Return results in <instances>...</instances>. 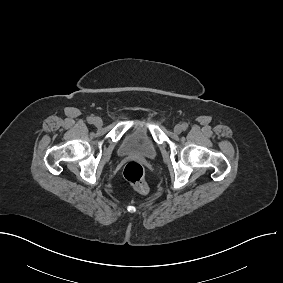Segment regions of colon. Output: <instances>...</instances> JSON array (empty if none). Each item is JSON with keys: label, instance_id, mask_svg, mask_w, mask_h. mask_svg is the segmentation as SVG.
Wrapping results in <instances>:
<instances>
[{"label": "colon", "instance_id": "obj_1", "mask_svg": "<svg viewBox=\"0 0 283 283\" xmlns=\"http://www.w3.org/2000/svg\"><path fill=\"white\" fill-rule=\"evenodd\" d=\"M123 175L140 194L148 193L149 187L144 179V168L140 163L132 161L126 164Z\"/></svg>", "mask_w": 283, "mask_h": 283}]
</instances>
